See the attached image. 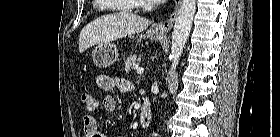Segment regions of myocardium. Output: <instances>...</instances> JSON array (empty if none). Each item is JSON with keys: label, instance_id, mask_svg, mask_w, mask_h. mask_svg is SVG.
Wrapping results in <instances>:
<instances>
[{"label": "myocardium", "instance_id": "1", "mask_svg": "<svg viewBox=\"0 0 280 137\" xmlns=\"http://www.w3.org/2000/svg\"><path fill=\"white\" fill-rule=\"evenodd\" d=\"M137 2L143 4V5H147V2L146 0H137ZM149 6H151L150 4H148Z\"/></svg>", "mask_w": 280, "mask_h": 137}]
</instances>
